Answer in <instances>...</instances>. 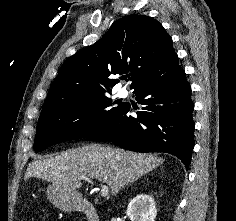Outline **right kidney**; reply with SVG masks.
Listing matches in <instances>:
<instances>
[{"label": "right kidney", "instance_id": "obj_1", "mask_svg": "<svg viewBox=\"0 0 236 221\" xmlns=\"http://www.w3.org/2000/svg\"><path fill=\"white\" fill-rule=\"evenodd\" d=\"M126 214L131 221H155L157 210L154 198L147 194H138L128 204Z\"/></svg>", "mask_w": 236, "mask_h": 221}]
</instances>
